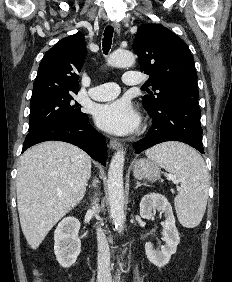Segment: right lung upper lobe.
Instances as JSON below:
<instances>
[{
  "instance_id": "cb5924a9",
  "label": "right lung upper lobe",
  "mask_w": 232,
  "mask_h": 282,
  "mask_svg": "<svg viewBox=\"0 0 232 282\" xmlns=\"http://www.w3.org/2000/svg\"><path fill=\"white\" fill-rule=\"evenodd\" d=\"M86 57V45L81 33L61 39L49 49L40 62L33 91L62 89L78 91V73Z\"/></svg>"
}]
</instances>
